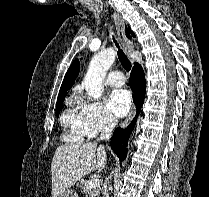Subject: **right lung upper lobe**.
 Instances as JSON below:
<instances>
[{
  "instance_id": "right-lung-upper-lobe-1",
  "label": "right lung upper lobe",
  "mask_w": 209,
  "mask_h": 197,
  "mask_svg": "<svg viewBox=\"0 0 209 197\" xmlns=\"http://www.w3.org/2000/svg\"><path fill=\"white\" fill-rule=\"evenodd\" d=\"M126 35L128 38H130L129 32L127 30H126ZM79 68H80L79 61L75 60L72 63V65L69 67L64 77L57 101L60 99H64L66 97L68 89L72 87V85L75 82V78L78 76Z\"/></svg>"
}]
</instances>
